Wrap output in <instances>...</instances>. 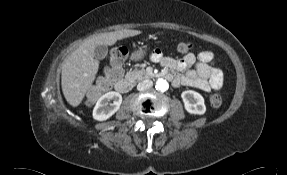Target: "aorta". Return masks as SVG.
I'll return each instance as SVG.
<instances>
[{
	"instance_id": "1",
	"label": "aorta",
	"mask_w": 287,
	"mask_h": 175,
	"mask_svg": "<svg viewBox=\"0 0 287 175\" xmlns=\"http://www.w3.org/2000/svg\"><path fill=\"white\" fill-rule=\"evenodd\" d=\"M169 84L165 79H158L156 81V89L162 92L168 90Z\"/></svg>"
}]
</instances>
